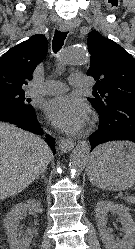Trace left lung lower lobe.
I'll return each instance as SVG.
<instances>
[{"label": "left lung lower lobe", "instance_id": "obj_1", "mask_svg": "<svg viewBox=\"0 0 135 249\" xmlns=\"http://www.w3.org/2000/svg\"><path fill=\"white\" fill-rule=\"evenodd\" d=\"M99 114V129L90 137L91 151L99 144L128 140L135 142V104H115Z\"/></svg>", "mask_w": 135, "mask_h": 249}]
</instances>
